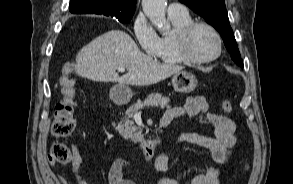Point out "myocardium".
Here are the masks:
<instances>
[{"label": "myocardium", "mask_w": 293, "mask_h": 184, "mask_svg": "<svg viewBox=\"0 0 293 184\" xmlns=\"http://www.w3.org/2000/svg\"><path fill=\"white\" fill-rule=\"evenodd\" d=\"M200 27L208 29L214 35L217 41L216 53L207 58H196L189 51L190 37L193 34V32ZM175 45L177 53L181 57V59H183L185 62L192 64H206L213 62L221 56L223 49L222 38L219 32L211 24L202 21H193L192 23L188 24L187 26L179 30L175 37Z\"/></svg>", "instance_id": "1"}]
</instances>
